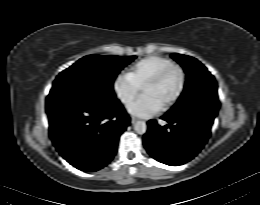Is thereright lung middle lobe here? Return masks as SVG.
I'll list each match as a JSON object with an SVG mask.
<instances>
[{"label":"right lung middle lobe","instance_id":"right-lung-middle-lobe-1","mask_svg":"<svg viewBox=\"0 0 260 205\" xmlns=\"http://www.w3.org/2000/svg\"><path fill=\"white\" fill-rule=\"evenodd\" d=\"M135 58L136 56H85L61 72L52 89L69 88L103 101H116L113 82L118 73Z\"/></svg>","mask_w":260,"mask_h":205}]
</instances>
